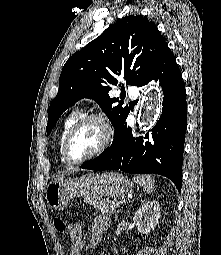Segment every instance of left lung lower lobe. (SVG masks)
<instances>
[{
	"mask_svg": "<svg viewBox=\"0 0 221 255\" xmlns=\"http://www.w3.org/2000/svg\"><path fill=\"white\" fill-rule=\"evenodd\" d=\"M153 79L159 80L164 98L162 114L152 132L134 138L126 115L115 128L111 146L81 168L159 174L169 178L180 192L187 102L182 75L168 45L142 86Z\"/></svg>",
	"mask_w": 221,
	"mask_h": 255,
	"instance_id": "0a47b994",
	"label": "left lung lower lobe"
}]
</instances>
